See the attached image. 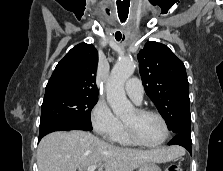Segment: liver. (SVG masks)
Listing matches in <instances>:
<instances>
[{"mask_svg": "<svg viewBox=\"0 0 223 171\" xmlns=\"http://www.w3.org/2000/svg\"><path fill=\"white\" fill-rule=\"evenodd\" d=\"M179 147L136 150L111 145L81 130L46 135L37 149L39 171H76L91 165L98 171H134L147 162L164 163L183 154Z\"/></svg>", "mask_w": 223, "mask_h": 171, "instance_id": "obj_1", "label": "liver"}]
</instances>
